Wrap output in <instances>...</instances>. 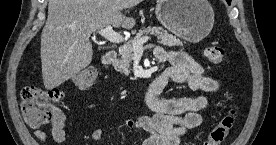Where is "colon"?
<instances>
[{
	"mask_svg": "<svg viewBox=\"0 0 276 145\" xmlns=\"http://www.w3.org/2000/svg\"><path fill=\"white\" fill-rule=\"evenodd\" d=\"M225 51L220 46H211L205 49V59L214 65L222 63ZM98 76L95 67H86L76 72L72 78V84L80 89L90 88ZM61 98V92L56 88H43L28 85L21 90V112L25 122L34 128L48 124L54 117L56 103ZM236 120V110L228 111L215 127L210 131L203 145H220L232 130Z\"/></svg>",
	"mask_w": 276,
	"mask_h": 145,
	"instance_id": "5ec220e1",
	"label": "colon"
}]
</instances>
